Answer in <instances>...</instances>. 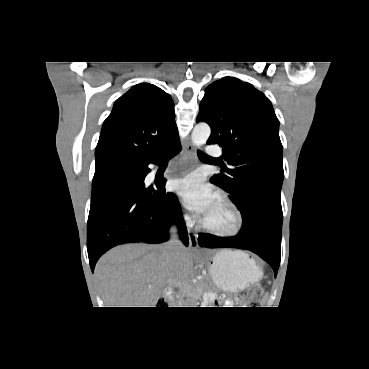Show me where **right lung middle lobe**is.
Returning <instances> with one entry per match:
<instances>
[{
    "label": "right lung middle lobe",
    "instance_id": "right-lung-middle-lobe-1",
    "mask_svg": "<svg viewBox=\"0 0 369 369\" xmlns=\"http://www.w3.org/2000/svg\"><path fill=\"white\" fill-rule=\"evenodd\" d=\"M126 163L128 162H108L96 164L92 187L98 184L101 180H103L111 173L126 165Z\"/></svg>",
    "mask_w": 369,
    "mask_h": 369
}]
</instances>
